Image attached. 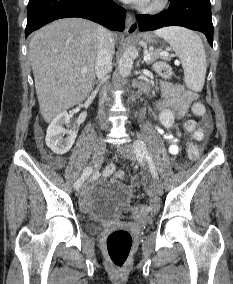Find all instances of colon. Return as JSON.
I'll return each mask as SVG.
<instances>
[{
	"label": "colon",
	"mask_w": 233,
	"mask_h": 284,
	"mask_svg": "<svg viewBox=\"0 0 233 284\" xmlns=\"http://www.w3.org/2000/svg\"><path fill=\"white\" fill-rule=\"evenodd\" d=\"M155 70L163 78H170L172 76V69L166 62H156ZM192 111L197 116L203 117L206 115L205 106L200 102H195L193 104ZM194 128L195 124L193 122L185 124V129L188 132H192ZM187 153L190 159L195 160L201 154V147L195 142L189 141L187 144ZM102 176L104 178L114 177L117 180H123L125 175L122 171H117L114 165L111 164L103 169ZM148 212L149 210L146 205H139L134 208L133 216L135 219L143 220L148 217ZM132 244V236L127 230L117 229L108 235L107 252L111 263L116 268H122L126 264Z\"/></svg>",
	"instance_id": "obj_1"
}]
</instances>
